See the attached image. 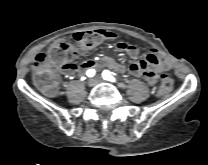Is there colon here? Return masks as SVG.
<instances>
[{
	"instance_id": "5ec220e1",
	"label": "colon",
	"mask_w": 208,
	"mask_h": 165,
	"mask_svg": "<svg viewBox=\"0 0 208 165\" xmlns=\"http://www.w3.org/2000/svg\"><path fill=\"white\" fill-rule=\"evenodd\" d=\"M97 32H78L74 35V43L61 40L53 44L47 53H39L33 61L32 79L34 84L47 95H55L59 90L58 70L64 62L74 60L83 52L95 48L101 41ZM174 85L170 73L160 78L157 91L162 97L169 94Z\"/></svg>"
}]
</instances>
